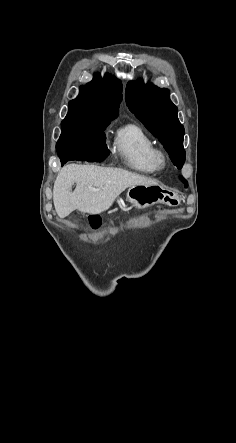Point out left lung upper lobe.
Wrapping results in <instances>:
<instances>
[{"instance_id": "left-lung-upper-lobe-1", "label": "left lung upper lobe", "mask_w": 236, "mask_h": 443, "mask_svg": "<svg viewBox=\"0 0 236 443\" xmlns=\"http://www.w3.org/2000/svg\"><path fill=\"white\" fill-rule=\"evenodd\" d=\"M125 97L129 109L160 140L173 164L181 169L185 162L184 127L179 122L177 107L170 101L169 90L144 84L142 80L130 81Z\"/></svg>"}]
</instances>
